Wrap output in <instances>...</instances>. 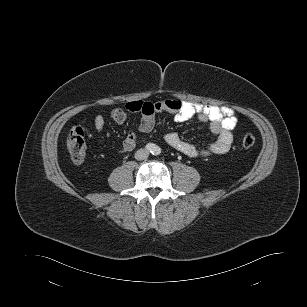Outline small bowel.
<instances>
[{"label":"small bowel","instance_id":"obj_1","mask_svg":"<svg viewBox=\"0 0 307 307\" xmlns=\"http://www.w3.org/2000/svg\"><path fill=\"white\" fill-rule=\"evenodd\" d=\"M163 112L173 115L177 122L197 118L200 122L208 124L211 133L215 136V140L206 148H199L194 144L184 141L175 132L165 134L164 140L175 150L186 156L197 158L224 154L230 149L232 130L237 125V117L231 108L167 99L158 102L131 101L124 107H116L112 110L111 117L118 124L126 121L128 113H139L141 115L138 127L128 131L122 144L123 151H132L137 145L138 133L150 132L154 126L155 115ZM104 126V117L97 115L94 118L95 129L101 132Z\"/></svg>","mask_w":307,"mask_h":307}]
</instances>
